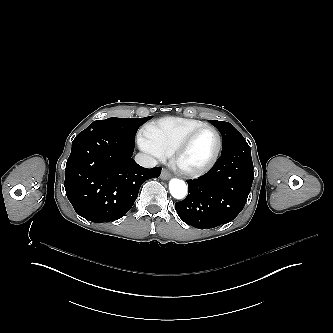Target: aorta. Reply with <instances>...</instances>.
Listing matches in <instances>:
<instances>
[{
    "label": "aorta",
    "mask_w": 333,
    "mask_h": 333,
    "mask_svg": "<svg viewBox=\"0 0 333 333\" xmlns=\"http://www.w3.org/2000/svg\"><path fill=\"white\" fill-rule=\"evenodd\" d=\"M169 191L175 199H184L188 193V188L183 180L172 178L169 182Z\"/></svg>",
    "instance_id": "762f6f07"
}]
</instances>
